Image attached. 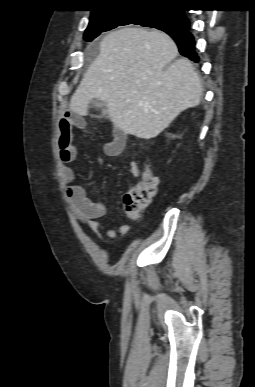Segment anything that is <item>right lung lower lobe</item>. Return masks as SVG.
Wrapping results in <instances>:
<instances>
[{
  "label": "right lung lower lobe",
  "mask_w": 255,
  "mask_h": 387,
  "mask_svg": "<svg viewBox=\"0 0 255 387\" xmlns=\"http://www.w3.org/2000/svg\"><path fill=\"white\" fill-rule=\"evenodd\" d=\"M162 31L166 32L174 39L181 55L196 63L199 62V57L195 52V41L190 32V26L178 29H163Z\"/></svg>",
  "instance_id": "98d812e1"
}]
</instances>
